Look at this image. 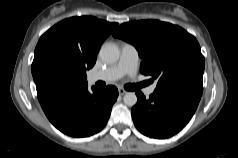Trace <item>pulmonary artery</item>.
<instances>
[{"instance_id": "obj_1", "label": "pulmonary artery", "mask_w": 238, "mask_h": 158, "mask_svg": "<svg viewBox=\"0 0 238 158\" xmlns=\"http://www.w3.org/2000/svg\"><path fill=\"white\" fill-rule=\"evenodd\" d=\"M138 51L137 49L129 43H123L121 45V53L119 61L108 67L105 70L91 73L88 77L90 83H95L97 81L112 82L120 79L125 74L134 75L138 67ZM156 85H151L145 89V94L147 96L154 93Z\"/></svg>"}]
</instances>
